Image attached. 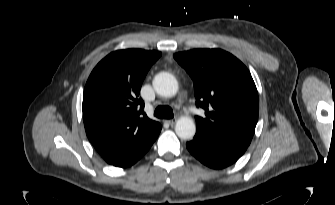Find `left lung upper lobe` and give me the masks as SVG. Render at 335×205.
I'll return each instance as SVG.
<instances>
[{"mask_svg": "<svg viewBox=\"0 0 335 205\" xmlns=\"http://www.w3.org/2000/svg\"><path fill=\"white\" fill-rule=\"evenodd\" d=\"M194 82L196 132L249 146L258 121L259 99L249 70L221 49H194L174 54Z\"/></svg>", "mask_w": 335, "mask_h": 205, "instance_id": "obj_1", "label": "left lung upper lobe"}]
</instances>
